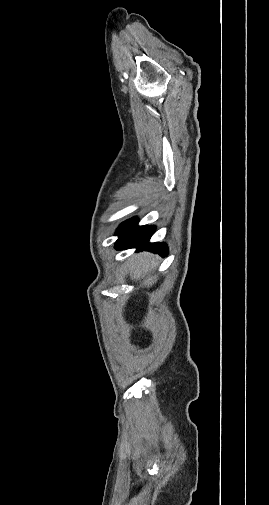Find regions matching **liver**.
<instances>
[{
	"mask_svg": "<svg viewBox=\"0 0 269 505\" xmlns=\"http://www.w3.org/2000/svg\"><path fill=\"white\" fill-rule=\"evenodd\" d=\"M158 256L142 252L134 255L129 263V273L134 281H141L146 287L152 286L157 281V276L152 275L159 264Z\"/></svg>",
	"mask_w": 269,
	"mask_h": 505,
	"instance_id": "1",
	"label": "liver"
}]
</instances>
